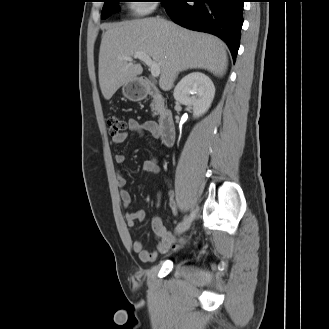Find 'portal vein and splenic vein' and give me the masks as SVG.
<instances>
[{"mask_svg":"<svg viewBox=\"0 0 329 329\" xmlns=\"http://www.w3.org/2000/svg\"><path fill=\"white\" fill-rule=\"evenodd\" d=\"M135 59H139L144 62L151 72L152 77H158L160 75V66L158 63L154 62L146 53L137 52L133 56ZM128 61H133L131 57L125 58Z\"/></svg>","mask_w":329,"mask_h":329,"instance_id":"portal-vein-and-splenic-vein-1","label":"portal vein and splenic vein"}]
</instances>
